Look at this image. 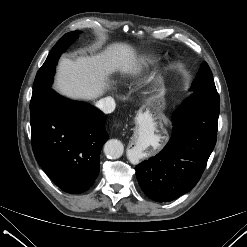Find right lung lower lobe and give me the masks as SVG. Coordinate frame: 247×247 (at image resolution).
<instances>
[{
	"instance_id": "obj_1",
	"label": "right lung lower lobe",
	"mask_w": 247,
	"mask_h": 247,
	"mask_svg": "<svg viewBox=\"0 0 247 247\" xmlns=\"http://www.w3.org/2000/svg\"><path fill=\"white\" fill-rule=\"evenodd\" d=\"M30 115L32 148L43 171L67 193L89 189L99 174L100 152L109 137L106 116L53 90Z\"/></svg>"
}]
</instances>
